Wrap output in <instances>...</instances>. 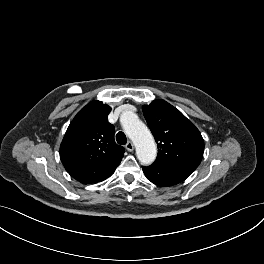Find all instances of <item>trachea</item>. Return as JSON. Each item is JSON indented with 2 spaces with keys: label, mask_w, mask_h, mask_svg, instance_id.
I'll return each instance as SVG.
<instances>
[{
  "label": "trachea",
  "mask_w": 264,
  "mask_h": 264,
  "mask_svg": "<svg viewBox=\"0 0 264 264\" xmlns=\"http://www.w3.org/2000/svg\"><path fill=\"white\" fill-rule=\"evenodd\" d=\"M116 140H117V143L121 145H125L127 143L126 135L121 131L117 133Z\"/></svg>",
  "instance_id": "trachea-1"
}]
</instances>
